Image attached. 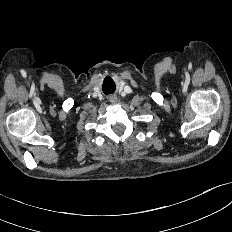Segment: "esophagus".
Listing matches in <instances>:
<instances>
[{
    "instance_id": "obj_1",
    "label": "esophagus",
    "mask_w": 232,
    "mask_h": 232,
    "mask_svg": "<svg viewBox=\"0 0 232 232\" xmlns=\"http://www.w3.org/2000/svg\"><path fill=\"white\" fill-rule=\"evenodd\" d=\"M109 101H110L112 104H115V103H117V97L111 96V97L109 98Z\"/></svg>"
}]
</instances>
